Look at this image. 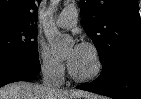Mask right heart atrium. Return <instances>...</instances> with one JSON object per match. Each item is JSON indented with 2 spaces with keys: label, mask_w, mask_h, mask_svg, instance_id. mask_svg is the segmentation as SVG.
Returning a JSON list of instances; mask_svg holds the SVG:
<instances>
[{
  "label": "right heart atrium",
  "mask_w": 141,
  "mask_h": 99,
  "mask_svg": "<svg viewBox=\"0 0 141 99\" xmlns=\"http://www.w3.org/2000/svg\"><path fill=\"white\" fill-rule=\"evenodd\" d=\"M36 55L39 68L45 77L53 81H58L64 76V63L55 57L45 44H38Z\"/></svg>",
  "instance_id": "obj_1"
}]
</instances>
